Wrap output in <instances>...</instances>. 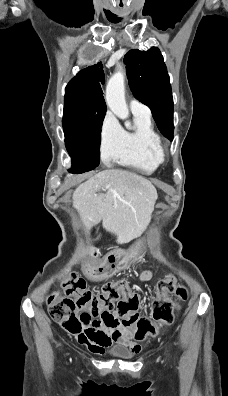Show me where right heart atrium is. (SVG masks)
<instances>
[{
	"instance_id": "1",
	"label": "right heart atrium",
	"mask_w": 228,
	"mask_h": 396,
	"mask_svg": "<svg viewBox=\"0 0 228 396\" xmlns=\"http://www.w3.org/2000/svg\"><path fill=\"white\" fill-rule=\"evenodd\" d=\"M123 129L111 113H106L100 127V151L105 162L115 160L122 142Z\"/></svg>"
}]
</instances>
